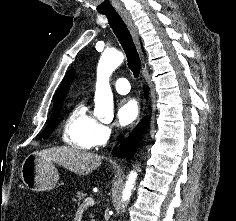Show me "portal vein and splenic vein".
I'll list each match as a JSON object with an SVG mask.
<instances>
[{"label":"portal vein and splenic vein","instance_id":"portal-vein-and-splenic-vein-1","mask_svg":"<svg viewBox=\"0 0 236 221\" xmlns=\"http://www.w3.org/2000/svg\"><path fill=\"white\" fill-rule=\"evenodd\" d=\"M94 204H95L94 199L92 197H88L83 201L81 207L93 206Z\"/></svg>","mask_w":236,"mask_h":221}]
</instances>
